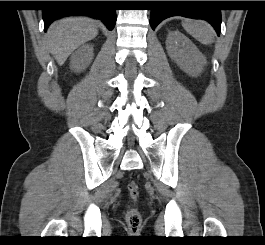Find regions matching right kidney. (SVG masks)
<instances>
[{"instance_id": "right-kidney-1", "label": "right kidney", "mask_w": 265, "mask_h": 245, "mask_svg": "<svg viewBox=\"0 0 265 245\" xmlns=\"http://www.w3.org/2000/svg\"><path fill=\"white\" fill-rule=\"evenodd\" d=\"M93 59V46L83 45L75 51L70 58V67L72 70L81 72L85 70Z\"/></svg>"}]
</instances>
